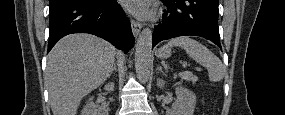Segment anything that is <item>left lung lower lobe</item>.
<instances>
[{"instance_id": "left-lung-lower-lobe-1", "label": "left lung lower lobe", "mask_w": 285, "mask_h": 115, "mask_svg": "<svg viewBox=\"0 0 285 115\" xmlns=\"http://www.w3.org/2000/svg\"><path fill=\"white\" fill-rule=\"evenodd\" d=\"M167 10L155 27L152 47L179 36H201L220 45L218 0H162Z\"/></svg>"}]
</instances>
